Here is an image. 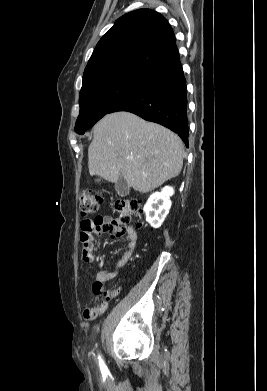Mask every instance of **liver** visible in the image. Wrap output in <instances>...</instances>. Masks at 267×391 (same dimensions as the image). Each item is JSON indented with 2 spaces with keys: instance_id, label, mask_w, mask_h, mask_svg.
<instances>
[{
  "instance_id": "6515ba94",
  "label": "liver",
  "mask_w": 267,
  "mask_h": 391,
  "mask_svg": "<svg viewBox=\"0 0 267 391\" xmlns=\"http://www.w3.org/2000/svg\"><path fill=\"white\" fill-rule=\"evenodd\" d=\"M88 168L116 183L123 176L129 187L146 193L179 175L182 140L169 129L119 111L107 114L93 128Z\"/></svg>"
}]
</instances>
